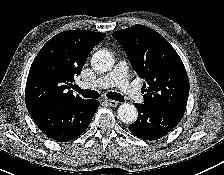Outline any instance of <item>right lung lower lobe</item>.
Instances as JSON below:
<instances>
[{
  "label": "right lung lower lobe",
  "instance_id": "obj_1",
  "mask_svg": "<svg viewBox=\"0 0 224 175\" xmlns=\"http://www.w3.org/2000/svg\"><path fill=\"white\" fill-rule=\"evenodd\" d=\"M98 106L97 100H81L50 106L31 116L49 138L67 142L88 128Z\"/></svg>",
  "mask_w": 224,
  "mask_h": 175
}]
</instances>
